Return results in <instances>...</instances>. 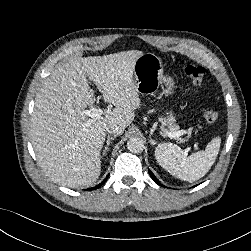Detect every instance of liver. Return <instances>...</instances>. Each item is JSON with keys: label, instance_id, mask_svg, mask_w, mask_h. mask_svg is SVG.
<instances>
[{"label": "liver", "instance_id": "1", "mask_svg": "<svg viewBox=\"0 0 251 251\" xmlns=\"http://www.w3.org/2000/svg\"><path fill=\"white\" fill-rule=\"evenodd\" d=\"M142 54L131 50L69 59L45 79L36 94L30 136L37 160L53 182L78 188L98 179L106 127L126 128L141 106L133 71ZM86 77L115 106L97 120L80 114L95 102Z\"/></svg>", "mask_w": 251, "mask_h": 251}]
</instances>
